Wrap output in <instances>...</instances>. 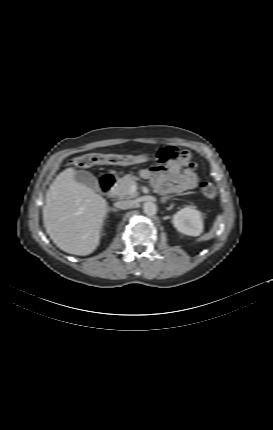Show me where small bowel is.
I'll return each instance as SVG.
<instances>
[{
    "label": "small bowel",
    "instance_id": "obj_1",
    "mask_svg": "<svg viewBox=\"0 0 273 430\" xmlns=\"http://www.w3.org/2000/svg\"><path fill=\"white\" fill-rule=\"evenodd\" d=\"M160 164L148 169H142L140 175L150 179L153 186L162 194L184 192L198 184L195 164L191 155L182 151L176 155L174 149L164 148L157 153ZM161 157H164L163 159Z\"/></svg>",
    "mask_w": 273,
    "mask_h": 430
}]
</instances>
